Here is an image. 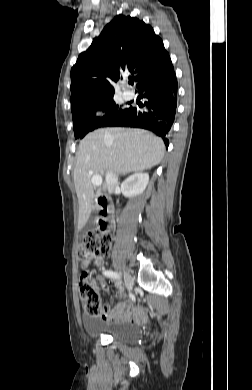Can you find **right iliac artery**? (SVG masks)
Instances as JSON below:
<instances>
[{"instance_id": "right-iliac-artery-1", "label": "right iliac artery", "mask_w": 252, "mask_h": 390, "mask_svg": "<svg viewBox=\"0 0 252 390\" xmlns=\"http://www.w3.org/2000/svg\"><path fill=\"white\" fill-rule=\"evenodd\" d=\"M115 273L116 272H113L111 270H107V271H104L103 274L109 278H113L114 280H116V276H115ZM121 276V274H120ZM129 298L131 299V303L133 305H136L138 303V300L135 298V295L133 294V292H130V295H129Z\"/></svg>"}]
</instances>
